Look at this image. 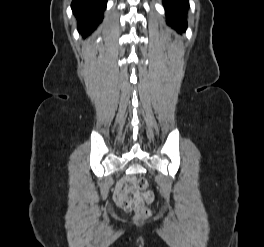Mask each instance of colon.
Segmentation results:
<instances>
[{
  "instance_id": "5ec220e1",
  "label": "colon",
  "mask_w": 264,
  "mask_h": 247,
  "mask_svg": "<svg viewBox=\"0 0 264 247\" xmlns=\"http://www.w3.org/2000/svg\"><path fill=\"white\" fill-rule=\"evenodd\" d=\"M148 185V181L145 178L130 179V186H132L136 192L121 197L119 199L120 206L127 211H134L136 216L140 218H147L150 215V210L145 202L153 199L152 193L147 191Z\"/></svg>"
}]
</instances>
